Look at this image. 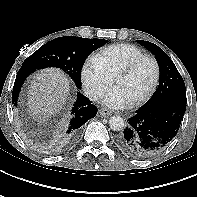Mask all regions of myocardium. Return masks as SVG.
Returning a JSON list of instances; mask_svg holds the SVG:
<instances>
[{
	"label": "myocardium",
	"instance_id": "f54148a6",
	"mask_svg": "<svg viewBox=\"0 0 197 197\" xmlns=\"http://www.w3.org/2000/svg\"><path fill=\"white\" fill-rule=\"evenodd\" d=\"M145 61H150L153 64L154 78L149 89L137 99L129 102L130 106H136V105L142 104L143 102L147 101L155 92L159 83V78H160V66H159L158 61L154 57H151L148 55L141 56L139 58H136L129 64H127L125 67L121 68L114 77V83H115L117 79L130 75L141 63Z\"/></svg>",
	"mask_w": 197,
	"mask_h": 197
}]
</instances>
